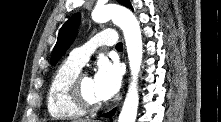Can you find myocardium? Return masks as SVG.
I'll return each instance as SVG.
<instances>
[{
  "mask_svg": "<svg viewBox=\"0 0 221 122\" xmlns=\"http://www.w3.org/2000/svg\"><path fill=\"white\" fill-rule=\"evenodd\" d=\"M86 74L79 72L70 82L69 94L72 101L85 112H95L103 107V103H95L89 100L82 89V79Z\"/></svg>",
  "mask_w": 221,
  "mask_h": 122,
  "instance_id": "obj_1",
  "label": "myocardium"
}]
</instances>
